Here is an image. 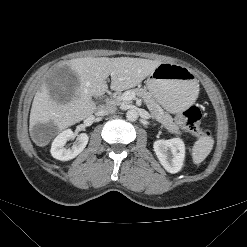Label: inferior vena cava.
Returning <instances> with one entry per match:
<instances>
[{
	"label": "inferior vena cava",
	"mask_w": 247,
	"mask_h": 247,
	"mask_svg": "<svg viewBox=\"0 0 247 247\" xmlns=\"http://www.w3.org/2000/svg\"><path fill=\"white\" fill-rule=\"evenodd\" d=\"M116 108L110 104L100 105L98 106L95 115L96 116H106L109 114L115 113Z\"/></svg>",
	"instance_id": "obj_1"
}]
</instances>
